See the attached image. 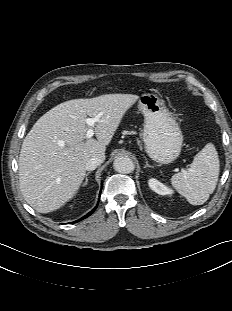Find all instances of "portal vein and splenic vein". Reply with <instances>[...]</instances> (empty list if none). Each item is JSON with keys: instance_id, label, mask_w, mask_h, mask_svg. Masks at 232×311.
<instances>
[{"instance_id": "obj_1", "label": "portal vein and splenic vein", "mask_w": 232, "mask_h": 311, "mask_svg": "<svg viewBox=\"0 0 232 311\" xmlns=\"http://www.w3.org/2000/svg\"><path fill=\"white\" fill-rule=\"evenodd\" d=\"M100 117H101V114H98L94 118H86L85 119V122L87 123V125L89 127V129L86 133V138H91L94 135V129H93L94 124L99 121ZM60 145L63 146V143H61Z\"/></svg>"}]
</instances>
